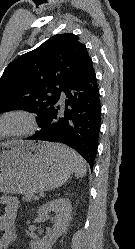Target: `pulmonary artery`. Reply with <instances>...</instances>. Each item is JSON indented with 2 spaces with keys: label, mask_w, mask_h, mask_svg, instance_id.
I'll use <instances>...</instances> for the list:
<instances>
[{
  "label": "pulmonary artery",
  "mask_w": 135,
  "mask_h": 249,
  "mask_svg": "<svg viewBox=\"0 0 135 249\" xmlns=\"http://www.w3.org/2000/svg\"><path fill=\"white\" fill-rule=\"evenodd\" d=\"M61 101H64L65 100V95L64 94H61Z\"/></svg>",
  "instance_id": "e3ab8cb5"
}]
</instances>
